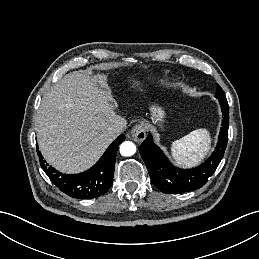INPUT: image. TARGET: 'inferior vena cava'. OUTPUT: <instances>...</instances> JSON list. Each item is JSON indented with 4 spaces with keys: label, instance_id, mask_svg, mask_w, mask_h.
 <instances>
[{
    "label": "inferior vena cava",
    "instance_id": "obj_1",
    "mask_svg": "<svg viewBox=\"0 0 259 259\" xmlns=\"http://www.w3.org/2000/svg\"><path fill=\"white\" fill-rule=\"evenodd\" d=\"M109 129L113 134L118 135L123 131L124 126L122 122L116 121L109 127Z\"/></svg>",
    "mask_w": 259,
    "mask_h": 259
}]
</instances>
